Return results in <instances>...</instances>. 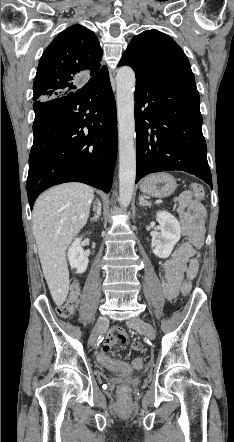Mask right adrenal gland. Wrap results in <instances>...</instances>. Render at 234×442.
Listing matches in <instances>:
<instances>
[{
    "label": "right adrenal gland",
    "instance_id": "2a0ac1e0",
    "mask_svg": "<svg viewBox=\"0 0 234 442\" xmlns=\"http://www.w3.org/2000/svg\"><path fill=\"white\" fill-rule=\"evenodd\" d=\"M94 211H96V213L90 219L91 222H97L101 216V203L99 200H97V202H96V208H94Z\"/></svg>",
    "mask_w": 234,
    "mask_h": 442
}]
</instances>
